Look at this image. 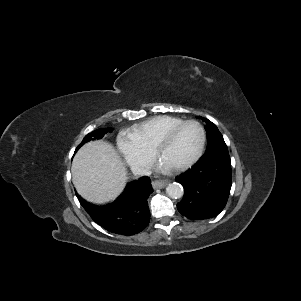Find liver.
I'll list each match as a JSON object with an SVG mask.
<instances>
[{"label":"liver","instance_id":"1","mask_svg":"<svg viewBox=\"0 0 301 301\" xmlns=\"http://www.w3.org/2000/svg\"><path fill=\"white\" fill-rule=\"evenodd\" d=\"M72 181L85 200L104 204L118 197L127 181V171L113 146L104 141L86 143L72 163Z\"/></svg>","mask_w":301,"mask_h":301}]
</instances>
